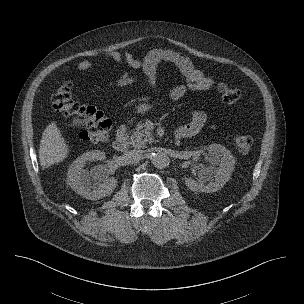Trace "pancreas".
Masks as SVG:
<instances>
[{
    "instance_id": "obj_1",
    "label": "pancreas",
    "mask_w": 304,
    "mask_h": 304,
    "mask_svg": "<svg viewBox=\"0 0 304 304\" xmlns=\"http://www.w3.org/2000/svg\"><path fill=\"white\" fill-rule=\"evenodd\" d=\"M129 135L130 144L135 148H145L147 143L154 141L152 133L145 128L143 123H138Z\"/></svg>"
}]
</instances>
